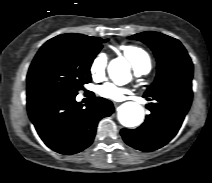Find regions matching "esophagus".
<instances>
[{
  "mask_svg": "<svg viewBox=\"0 0 212 183\" xmlns=\"http://www.w3.org/2000/svg\"><path fill=\"white\" fill-rule=\"evenodd\" d=\"M114 106L115 107H118L119 106V103L118 102H113Z\"/></svg>",
  "mask_w": 212,
  "mask_h": 183,
  "instance_id": "obj_1",
  "label": "esophagus"
}]
</instances>
